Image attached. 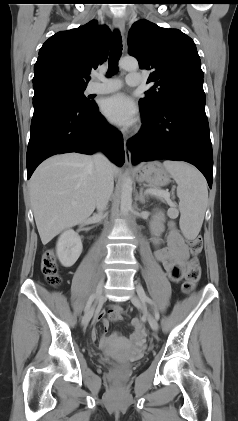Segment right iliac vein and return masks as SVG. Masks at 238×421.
Masks as SVG:
<instances>
[{
	"label": "right iliac vein",
	"mask_w": 238,
	"mask_h": 421,
	"mask_svg": "<svg viewBox=\"0 0 238 421\" xmlns=\"http://www.w3.org/2000/svg\"><path fill=\"white\" fill-rule=\"evenodd\" d=\"M103 286H104V279L102 278L100 280V282L97 285L96 288V293H95V303L93 304V306H91V308L88 309V311H86L85 315L82 318V325L84 327H86L88 325V323L90 322L93 313H94V309H95V304L98 301V299L100 298L102 291H103Z\"/></svg>",
	"instance_id": "right-iliac-vein-1"
}]
</instances>
